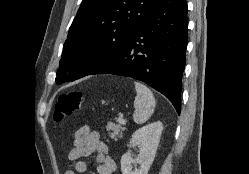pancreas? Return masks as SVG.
<instances>
[{
  "mask_svg": "<svg viewBox=\"0 0 249 174\" xmlns=\"http://www.w3.org/2000/svg\"><path fill=\"white\" fill-rule=\"evenodd\" d=\"M107 131H109L110 137L115 141L118 140L119 137H122L123 131H125V127H122L120 124H114L111 122L107 123Z\"/></svg>",
  "mask_w": 249,
  "mask_h": 174,
  "instance_id": "obj_1",
  "label": "pancreas"
}]
</instances>
